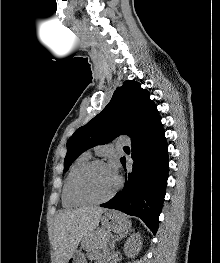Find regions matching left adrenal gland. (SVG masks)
<instances>
[{
  "label": "left adrenal gland",
  "mask_w": 220,
  "mask_h": 263,
  "mask_svg": "<svg viewBox=\"0 0 220 263\" xmlns=\"http://www.w3.org/2000/svg\"><path fill=\"white\" fill-rule=\"evenodd\" d=\"M126 236H127V233L119 234V235L115 236V238L111 241V245H110L111 249L114 250L116 241H119V240H121L122 238H124Z\"/></svg>",
  "instance_id": "obj_1"
}]
</instances>
